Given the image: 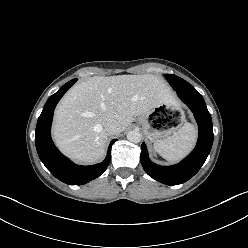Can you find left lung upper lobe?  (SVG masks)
<instances>
[{"label":"left lung upper lobe","mask_w":248,"mask_h":248,"mask_svg":"<svg viewBox=\"0 0 248 248\" xmlns=\"http://www.w3.org/2000/svg\"><path fill=\"white\" fill-rule=\"evenodd\" d=\"M168 82L170 85L174 88V90L178 91H194V87L189 84L187 81L184 79L177 77L176 75L173 74H165Z\"/></svg>","instance_id":"5c2ea615"}]
</instances>
